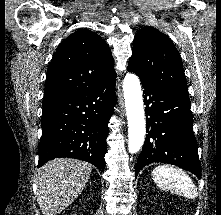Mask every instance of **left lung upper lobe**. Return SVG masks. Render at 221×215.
<instances>
[{"label": "left lung upper lobe", "instance_id": "left-lung-upper-lobe-1", "mask_svg": "<svg viewBox=\"0 0 221 215\" xmlns=\"http://www.w3.org/2000/svg\"><path fill=\"white\" fill-rule=\"evenodd\" d=\"M128 70L162 89L188 97L184 69L173 42L146 26L134 37Z\"/></svg>", "mask_w": 221, "mask_h": 215}]
</instances>
